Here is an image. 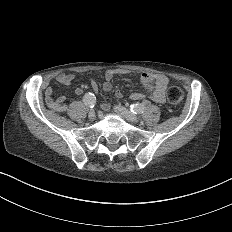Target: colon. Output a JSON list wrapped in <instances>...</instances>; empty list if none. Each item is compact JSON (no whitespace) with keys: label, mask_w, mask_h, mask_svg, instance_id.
<instances>
[{"label":"colon","mask_w":232,"mask_h":232,"mask_svg":"<svg viewBox=\"0 0 232 232\" xmlns=\"http://www.w3.org/2000/svg\"><path fill=\"white\" fill-rule=\"evenodd\" d=\"M169 94L167 98L169 102H165V107H183L182 94H180L181 86H168ZM47 108L51 112L66 113V105L63 96H51L47 101Z\"/></svg>","instance_id":"5ec220e1"}]
</instances>
